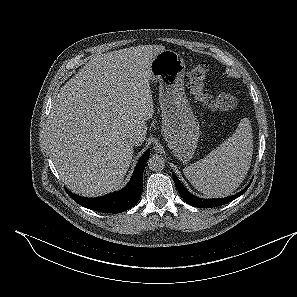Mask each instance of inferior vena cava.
<instances>
[{
    "instance_id": "obj_1",
    "label": "inferior vena cava",
    "mask_w": 297,
    "mask_h": 297,
    "mask_svg": "<svg viewBox=\"0 0 297 297\" xmlns=\"http://www.w3.org/2000/svg\"><path fill=\"white\" fill-rule=\"evenodd\" d=\"M141 141V138L134 135V134H131L128 138V143L131 145V146H134V145H138Z\"/></svg>"
}]
</instances>
